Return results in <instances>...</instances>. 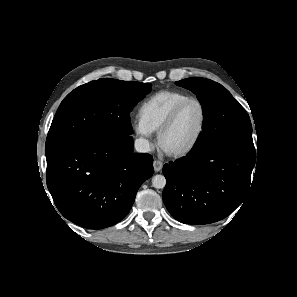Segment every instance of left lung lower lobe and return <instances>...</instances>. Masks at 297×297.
Instances as JSON below:
<instances>
[{"label": "left lung lower lobe", "mask_w": 297, "mask_h": 297, "mask_svg": "<svg viewBox=\"0 0 297 297\" xmlns=\"http://www.w3.org/2000/svg\"><path fill=\"white\" fill-rule=\"evenodd\" d=\"M255 161V151L216 145L165 164L167 210L185 224H209L227 217L244 201Z\"/></svg>", "instance_id": "1"}]
</instances>
